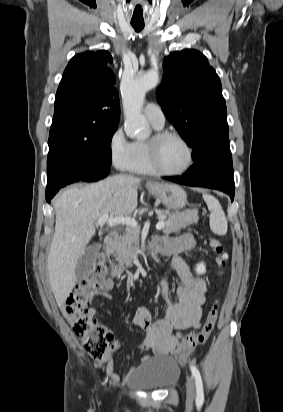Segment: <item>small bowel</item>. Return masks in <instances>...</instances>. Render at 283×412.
Listing matches in <instances>:
<instances>
[{
  "label": "small bowel",
  "instance_id": "c3829d8e",
  "mask_svg": "<svg viewBox=\"0 0 283 412\" xmlns=\"http://www.w3.org/2000/svg\"><path fill=\"white\" fill-rule=\"evenodd\" d=\"M154 243L157 245H167L172 247V260L170 267L162 279L159 287V296L164 303V315L161 319L153 321L151 313L145 307H139L132 319L135 326L145 331V338L140 344L142 350L152 351L155 356L174 355L181 365L188 359L189 351L179 353L176 348L181 332L187 329H196L201 324V306L205 301L206 283L201 277L196 276L190 270L187 262L182 255L194 252L196 241L191 233H185L176 238H156ZM171 273H175L180 285L176 288V302L171 300L172 286L170 282ZM114 286L112 278L105 279L99 286V294L108 301L113 299L109 291ZM91 312L96 314V309L91 308ZM124 344L113 339L109 350L102 358L106 362V372L111 381L119 386L127 382L126 377H120L115 372L114 353ZM149 360V356H143L142 362ZM133 367L131 371H133Z\"/></svg>",
  "mask_w": 283,
  "mask_h": 412
}]
</instances>
